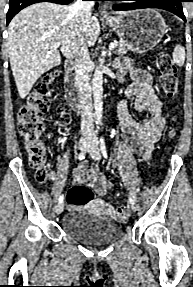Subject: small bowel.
Here are the masks:
<instances>
[{
  "mask_svg": "<svg viewBox=\"0 0 193 287\" xmlns=\"http://www.w3.org/2000/svg\"><path fill=\"white\" fill-rule=\"evenodd\" d=\"M127 66V64H125ZM129 75L133 82L125 90V99L117 107L122 138L128 148L140 155L144 161L160 138L164 128L165 118L163 103L152 87L151 76L140 69L130 68ZM134 97L133 109L136 113L146 116L144 122L139 121L129 111L126 98ZM67 117L70 114L67 113ZM74 182L83 183L91 187L102 196L112 186L111 182L102 174L98 164L89 165L87 161L79 162L73 171Z\"/></svg>",
  "mask_w": 193,
  "mask_h": 287,
  "instance_id": "obj_1",
  "label": "small bowel"
}]
</instances>
